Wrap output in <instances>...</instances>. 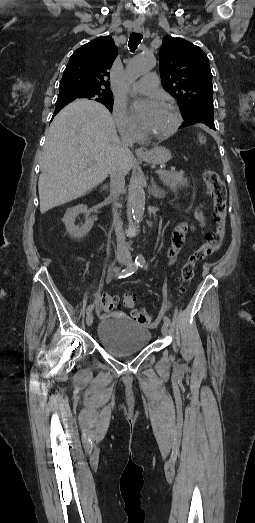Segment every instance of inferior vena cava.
Returning a JSON list of instances; mask_svg holds the SVG:
<instances>
[{
	"label": "inferior vena cava",
	"instance_id": "inferior-vena-cava-1",
	"mask_svg": "<svg viewBox=\"0 0 255 523\" xmlns=\"http://www.w3.org/2000/svg\"><path fill=\"white\" fill-rule=\"evenodd\" d=\"M122 142H121V148L117 154V162H115L114 168H112L110 172V178H111V184H110V192L111 196L114 200V208H113V224L116 232V240H117V252H120V254H129L128 246L125 242L123 230H122V222L119 218V214L117 212V204L116 200H118L121 192H123L125 188V176H126V170L124 168L125 162L129 160L130 158V150L131 146H133V138H131L129 132H122L121 134Z\"/></svg>",
	"mask_w": 255,
	"mask_h": 523
}]
</instances>
